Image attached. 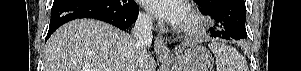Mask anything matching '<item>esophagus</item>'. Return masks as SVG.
I'll return each mask as SVG.
<instances>
[{
	"instance_id": "obj_1",
	"label": "esophagus",
	"mask_w": 301,
	"mask_h": 71,
	"mask_svg": "<svg viewBox=\"0 0 301 71\" xmlns=\"http://www.w3.org/2000/svg\"><path fill=\"white\" fill-rule=\"evenodd\" d=\"M154 51L159 58H167L170 56V51L166 45L165 39L158 34L155 38Z\"/></svg>"
}]
</instances>
